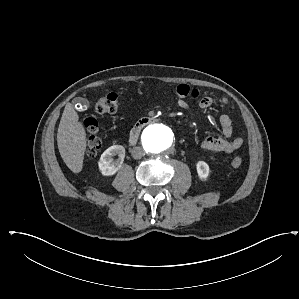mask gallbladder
Segmentation results:
<instances>
[{
  "label": "gallbladder",
  "mask_w": 299,
  "mask_h": 299,
  "mask_svg": "<svg viewBox=\"0 0 299 299\" xmlns=\"http://www.w3.org/2000/svg\"><path fill=\"white\" fill-rule=\"evenodd\" d=\"M75 103H79L83 106H87L89 104L88 100L87 99H84V98H77L75 100Z\"/></svg>",
  "instance_id": "obj_1"
}]
</instances>
